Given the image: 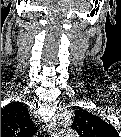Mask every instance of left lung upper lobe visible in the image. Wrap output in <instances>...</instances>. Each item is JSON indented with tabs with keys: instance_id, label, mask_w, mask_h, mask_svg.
Masks as SVG:
<instances>
[{
	"instance_id": "obj_1",
	"label": "left lung upper lobe",
	"mask_w": 121,
	"mask_h": 137,
	"mask_svg": "<svg viewBox=\"0 0 121 137\" xmlns=\"http://www.w3.org/2000/svg\"><path fill=\"white\" fill-rule=\"evenodd\" d=\"M71 128L80 135L89 134L91 136L116 137V129L103 119L86 110L75 111V118Z\"/></svg>"
}]
</instances>
